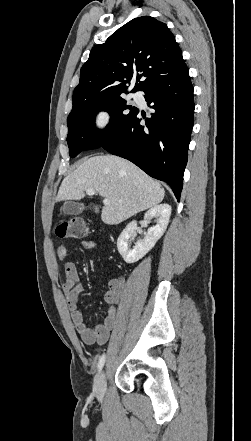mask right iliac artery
Masks as SVG:
<instances>
[{
  "label": "right iliac artery",
  "instance_id": "obj_1",
  "mask_svg": "<svg viewBox=\"0 0 251 441\" xmlns=\"http://www.w3.org/2000/svg\"><path fill=\"white\" fill-rule=\"evenodd\" d=\"M105 363V354H103L100 357L99 363H98V371H101L102 367L104 366Z\"/></svg>",
  "mask_w": 251,
  "mask_h": 441
}]
</instances>
